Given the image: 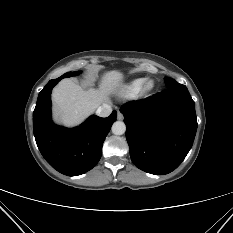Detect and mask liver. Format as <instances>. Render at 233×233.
<instances>
[{
  "label": "liver",
  "instance_id": "obj_1",
  "mask_svg": "<svg viewBox=\"0 0 233 233\" xmlns=\"http://www.w3.org/2000/svg\"><path fill=\"white\" fill-rule=\"evenodd\" d=\"M122 81L121 72L110 71L104 74L99 89L86 91L73 80H61L52 92L54 118L68 127L80 124L96 108L109 103L110 95L121 86Z\"/></svg>",
  "mask_w": 233,
  "mask_h": 233
}]
</instances>
